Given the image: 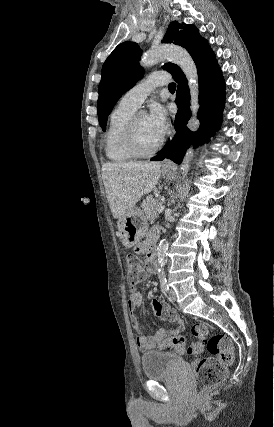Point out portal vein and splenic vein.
Returning <instances> with one entry per match:
<instances>
[{
	"label": "portal vein and splenic vein",
	"mask_w": 274,
	"mask_h": 427,
	"mask_svg": "<svg viewBox=\"0 0 274 427\" xmlns=\"http://www.w3.org/2000/svg\"><path fill=\"white\" fill-rule=\"evenodd\" d=\"M165 206H160V208H158L157 212L158 214H161V212H163Z\"/></svg>",
	"instance_id": "obj_1"
}]
</instances>
